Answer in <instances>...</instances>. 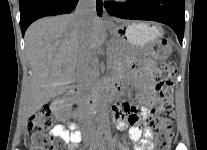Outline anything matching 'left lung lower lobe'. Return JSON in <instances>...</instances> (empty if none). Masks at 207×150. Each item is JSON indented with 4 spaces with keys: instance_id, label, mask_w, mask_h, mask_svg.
Returning a JSON list of instances; mask_svg holds the SVG:
<instances>
[{
    "instance_id": "1",
    "label": "left lung lower lobe",
    "mask_w": 207,
    "mask_h": 150,
    "mask_svg": "<svg viewBox=\"0 0 207 150\" xmlns=\"http://www.w3.org/2000/svg\"><path fill=\"white\" fill-rule=\"evenodd\" d=\"M104 6L111 15L118 18L164 23L174 30L182 44L185 27L184 0H130L126 3L105 2Z\"/></svg>"
}]
</instances>
